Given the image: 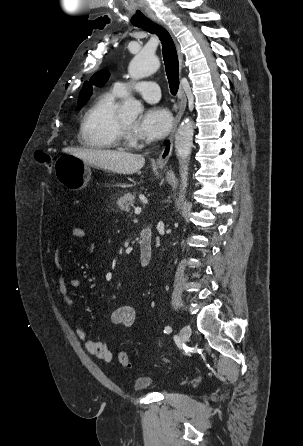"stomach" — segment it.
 <instances>
[{"label": "stomach", "instance_id": "0dacf381", "mask_svg": "<svg viewBox=\"0 0 303 446\" xmlns=\"http://www.w3.org/2000/svg\"><path fill=\"white\" fill-rule=\"evenodd\" d=\"M54 172L61 185L78 191L85 188L90 180L91 164L67 153L55 161Z\"/></svg>", "mask_w": 303, "mask_h": 446}]
</instances>
